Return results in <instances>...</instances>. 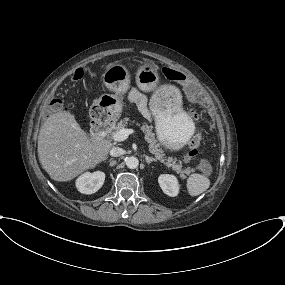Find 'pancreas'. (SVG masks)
Instances as JSON below:
<instances>
[{"label":"pancreas","mask_w":285,"mask_h":285,"mask_svg":"<svg viewBox=\"0 0 285 285\" xmlns=\"http://www.w3.org/2000/svg\"><path fill=\"white\" fill-rule=\"evenodd\" d=\"M129 118H125L124 120H120L117 124H111V126L108 128V135L113 137L114 133L121 129H125L127 127ZM141 130L145 133V139L149 143V149L152 154L155 155V158L157 160H160L161 162H164L167 167L172 168L173 171L180 174L181 178H186L185 174L189 175L192 170L190 168L183 169L181 163H176L175 159H172L171 157L165 158L164 153L162 149L160 148V144L157 143V140L155 138V134L152 132V127L148 126L146 123H144L141 126Z\"/></svg>","instance_id":"cf45deb5"}]
</instances>
